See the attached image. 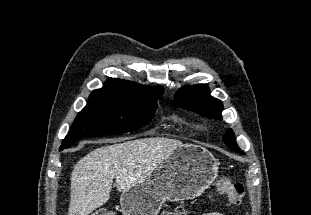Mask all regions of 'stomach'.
Wrapping results in <instances>:
<instances>
[{"label": "stomach", "instance_id": "0dacf381", "mask_svg": "<svg viewBox=\"0 0 311 215\" xmlns=\"http://www.w3.org/2000/svg\"><path fill=\"white\" fill-rule=\"evenodd\" d=\"M219 163L206 148L183 144L143 180L124 191L120 205L124 215H157L166 201L200 196L217 178Z\"/></svg>", "mask_w": 311, "mask_h": 215}]
</instances>
